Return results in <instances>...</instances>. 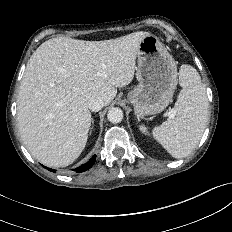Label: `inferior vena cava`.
Segmentation results:
<instances>
[{"label":"inferior vena cava","instance_id":"inferior-vena-cava-1","mask_svg":"<svg viewBox=\"0 0 232 232\" xmlns=\"http://www.w3.org/2000/svg\"><path fill=\"white\" fill-rule=\"evenodd\" d=\"M104 106V102L101 97L94 96L88 101V108L93 112H98Z\"/></svg>","mask_w":232,"mask_h":232}]
</instances>
